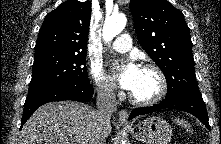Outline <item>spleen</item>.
Returning a JSON list of instances; mask_svg holds the SVG:
<instances>
[{"instance_id":"1","label":"spleen","mask_w":221,"mask_h":144,"mask_svg":"<svg viewBox=\"0 0 221 144\" xmlns=\"http://www.w3.org/2000/svg\"><path fill=\"white\" fill-rule=\"evenodd\" d=\"M174 122L178 123L180 126L184 127L189 133H192V128L187 121L175 119Z\"/></svg>"}]
</instances>
